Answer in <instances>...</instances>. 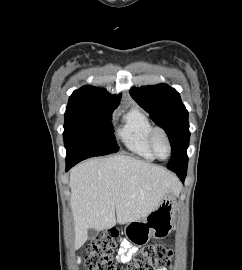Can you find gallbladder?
Wrapping results in <instances>:
<instances>
[{"label":"gallbladder","mask_w":242,"mask_h":270,"mask_svg":"<svg viewBox=\"0 0 242 270\" xmlns=\"http://www.w3.org/2000/svg\"><path fill=\"white\" fill-rule=\"evenodd\" d=\"M88 234H89L90 238H93L96 234V231L94 229H89Z\"/></svg>","instance_id":"gallbladder-1"}]
</instances>
